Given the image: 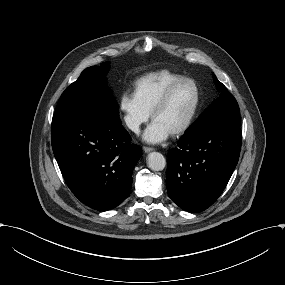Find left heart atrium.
<instances>
[{
    "label": "left heart atrium",
    "instance_id": "left-heart-atrium-1",
    "mask_svg": "<svg viewBox=\"0 0 285 285\" xmlns=\"http://www.w3.org/2000/svg\"><path fill=\"white\" fill-rule=\"evenodd\" d=\"M171 134V130L160 121L153 119L150 125L146 128L143 138L149 143H160L166 140Z\"/></svg>",
    "mask_w": 285,
    "mask_h": 285
}]
</instances>
